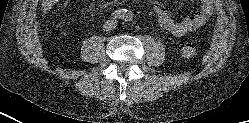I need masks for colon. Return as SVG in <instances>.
Returning a JSON list of instances; mask_svg holds the SVG:
<instances>
[{
  "instance_id": "5ec220e1",
  "label": "colon",
  "mask_w": 249,
  "mask_h": 123,
  "mask_svg": "<svg viewBox=\"0 0 249 123\" xmlns=\"http://www.w3.org/2000/svg\"><path fill=\"white\" fill-rule=\"evenodd\" d=\"M196 53V48L193 43L187 42L181 48V55L184 58H192Z\"/></svg>"
}]
</instances>
